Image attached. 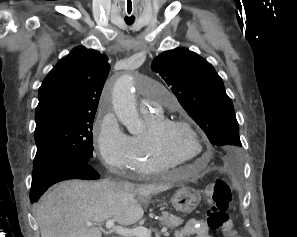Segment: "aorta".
I'll return each mask as SVG.
<instances>
[{
	"label": "aorta",
	"instance_id": "obj_1",
	"mask_svg": "<svg viewBox=\"0 0 297 237\" xmlns=\"http://www.w3.org/2000/svg\"><path fill=\"white\" fill-rule=\"evenodd\" d=\"M134 85L133 77L123 75L119 77L113 87V109L119 121L129 133L137 134L141 130V121L136 109L135 97L131 91Z\"/></svg>",
	"mask_w": 297,
	"mask_h": 237
}]
</instances>
